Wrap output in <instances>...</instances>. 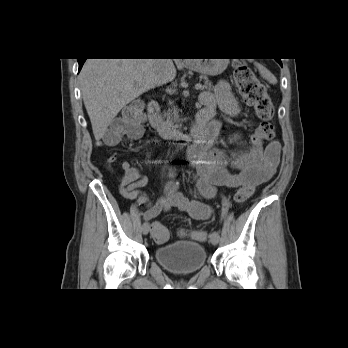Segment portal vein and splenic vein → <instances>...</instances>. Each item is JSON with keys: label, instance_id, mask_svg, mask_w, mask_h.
Segmentation results:
<instances>
[{"label": "portal vein and splenic vein", "instance_id": "1", "mask_svg": "<svg viewBox=\"0 0 348 348\" xmlns=\"http://www.w3.org/2000/svg\"><path fill=\"white\" fill-rule=\"evenodd\" d=\"M203 88L202 84L198 83L195 85L196 90H201Z\"/></svg>", "mask_w": 348, "mask_h": 348}]
</instances>
